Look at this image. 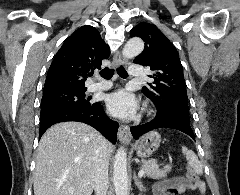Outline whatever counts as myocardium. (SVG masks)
Here are the masks:
<instances>
[{"mask_svg": "<svg viewBox=\"0 0 240 195\" xmlns=\"http://www.w3.org/2000/svg\"><path fill=\"white\" fill-rule=\"evenodd\" d=\"M145 113H146L147 116H149V115L151 114V109H150V108H147V109L145 110Z\"/></svg>", "mask_w": 240, "mask_h": 195, "instance_id": "f54148a6", "label": "myocardium"}]
</instances>
